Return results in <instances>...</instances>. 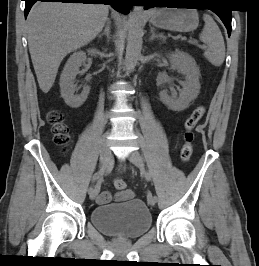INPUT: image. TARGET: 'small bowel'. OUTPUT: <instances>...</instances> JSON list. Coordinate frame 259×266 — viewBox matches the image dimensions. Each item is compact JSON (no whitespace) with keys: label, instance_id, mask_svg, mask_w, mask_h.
<instances>
[{"label":"small bowel","instance_id":"small-bowel-1","mask_svg":"<svg viewBox=\"0 0 259 266\" xmlns=\"http://www.w3.org/2000/svg\"><path fill=\"white\" fill-rule=\"evenodd\" d=\"M134 197V192L130 189H126L124 191H120L115 195V199L117 201H125L129 200ZM111 200V194L109 192H102L97 198L96 202L98 204H106L110 202Z\"/></svg>","mask_w":259,"mask_h":266}]
</instances>
